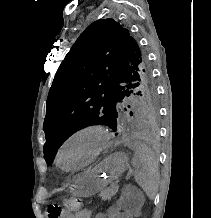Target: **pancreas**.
Returning a JSON list of instances; mask_svg holds the SVG:
<instances>
[{
    "label": "pancreas",
    "instance_id": "1",
    "mask_svg": "<svg viewBox=\"0 0 211 218\" xmlns=\"http://www.w3.org/2000/svg\"><path fill=\"white\" fill-rule=\"evenodd\" d=\"M118 190H119L118 182H113V184H111V188H106V190H103L100 196L102 200H111V196H115Z\"/></svg>",
    "mask_w": 211,
    "mask_h": 218
}]
</instances>
